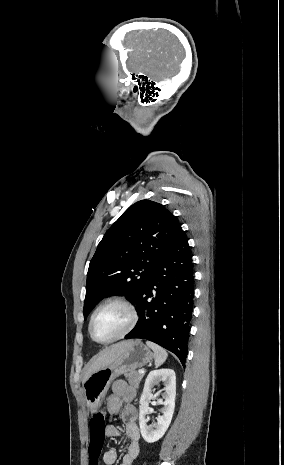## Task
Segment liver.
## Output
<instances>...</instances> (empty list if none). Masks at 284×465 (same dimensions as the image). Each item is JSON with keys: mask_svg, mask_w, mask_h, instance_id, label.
Instances as JSON below:
<instances>
[{"mask_svg": "<svg viewBox=\"0 0 284 465\" xmlns=\"http://www.w3.org/2000/svg\"><path fill=\"white\" fill-rule=\"evenodd\" d=\"M128 343L130 341H121V343H116V345H111V347H108L106 351H103V353H100L99 357H95V359H91L90 365H88L86 369V373H84V377L82 379V383H85L86 379L92 375V373H95V371H99V369H103V367H107V365H110V363H113L115 359H117L118 355L120 353H123L125 351Z\"/></svg>", "mask_w": 284, "mask_h": 465, "instance_id": "6515ba94", "label": "liver"}]
</instances>
